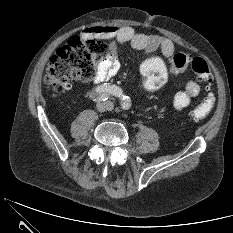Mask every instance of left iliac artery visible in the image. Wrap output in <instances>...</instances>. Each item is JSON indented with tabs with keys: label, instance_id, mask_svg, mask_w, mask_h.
Returning <instances> with one entry per match:
<instances>
[{
	"label": "left iliac artery",
	"instance_id": "1",
	"mask_svg": "<svg viewBox=\"0 0 233 233\" xmlns=\"http://www.w3.org/2000/svg\"><path fill=\"white\" fill-rule=\"evenodd\" d=\"M130 99H129V97L128 96H122L121 97V106H122V108L123 109H125V110H127V109H129L130 108Z\"/></svg>",
	"mask_w": 233,
	"mask_h": 233
}]
</instances>
